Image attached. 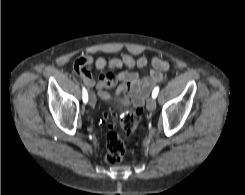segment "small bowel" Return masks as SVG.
I'll return each instance as SVG.
<instances>
[{
	"instance_id": "obj_1",
	"label": "small bowel",
	"mask_w": 245,
	"mask_h": 195,
	"mask_svg": "<svg viewBox=\"0 0 245 195\" xmlns=\"http://www.w3.org/2000/svg\"><path fill=\"white\" fill-rule=\"evenodd\" d=\"M150 63L151 69L148 76L141 78L135 71H123L113 74L109 70L126 67L128 69L144 68ZM95 67L101 71L98 80L91 74ZM169 69V63L157 56L150 61L146 56L134 57L125 55L121 58L106 60L104 57L94 58L91 55L79 57L74 64L76 74L83 80L87 87L97 89V94L102 99L113 96L124 103H133L141 106L150 93L152 87L163 79V72ZM117 86L114 94L107 89Z\"/></svg>"
}]
</instances>
